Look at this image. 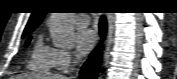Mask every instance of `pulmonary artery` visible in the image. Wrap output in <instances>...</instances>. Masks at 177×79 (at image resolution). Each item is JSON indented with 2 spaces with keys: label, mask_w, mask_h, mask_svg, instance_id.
<instances>
[{
  "label": "pulmonary artery",
  "mask_w": 177,
  "mask_h": 79,
  "mask_svg": "<svg viewBox=\"0 0 177 79\" xmlns=\"http://www.w3.org/2000/svg\"><path fill=\"white\" fill-rule=\"evenodd\" d=\"M73 23L79 26H87L89 24V16L87 14H77L74 16Z\"/></svg>",
  "instance_id": "pulmonary-artery-1"
}]
</instances>
